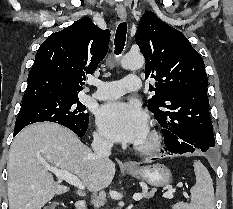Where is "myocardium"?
Instances as JSON below:
<instances>
[{
  "instance_id": "obj_1",
  "label": "myocardium",
  "mask_w": 233,
  "mask_h": 209,
  "mask_svg": "<svg viewBox=\"0 0 233 209\" xmlns=\"http://www.w3.org/2000/svg\"><path fill=\"white\" fill-rule=\"evenodd\" d=\"M161 134L153 126L148 129V138L143 143L134 145V149L143 154H151L156 152L161 146Z\"/></svg>"
}]
</instances>
